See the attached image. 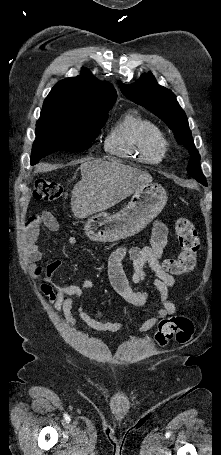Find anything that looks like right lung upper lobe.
I'll return each mask as SVG.
<instances>
[{
	"instance_id": "cb5924a9",
	"label": "right lung upper lobe",
	"mask_w": 221,
	"mask_h": 455,
	"mask_svg": "<svg viewBox=\"0 0 221 455\" xmlns=\"http://www.w3.org/2000/svg\"><path fill=\"white\" fill-rule=\"evenodd\" d=\"M117 93L108 82L98 81L87 69L77 77L59 81L46 97L42 113L82 118L111 109Z\"/></svg>"
}]
</instances>
